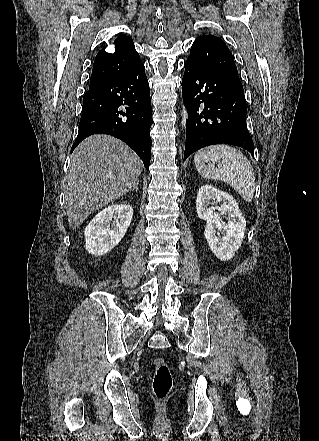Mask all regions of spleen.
I'll list each match as a JSON object with an SVG mask.
<instances>
[{"instance_id":"spleen-1","label":"spleen","mask_w":319,"mask_h":441,"mask_svg":"<svg viewBox=\"0 0 319 441\" xmlns=\"http://www.w3.org/2000/svg\"><path fill=\"white\" fill-rule=\"evenodd\" d=\"M194 161L202 177L229 184L247 202L253 199L256 185L253 169L238 149L229 145H213L197 151ZM218 161L222 165L217 168L215 164Z\"/></svg>"}]
</instances>
